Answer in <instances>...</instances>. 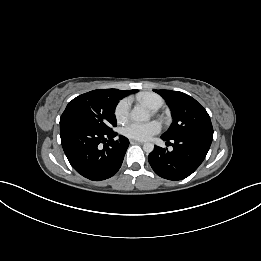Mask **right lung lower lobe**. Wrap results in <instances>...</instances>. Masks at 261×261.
<instances>
[{
    "label": "right lung lower lobe",
    "instance_id": "obj_1",
    "mask_svg": "<svg viewBox=\"0 0 261 261\" xmlns=\"http://www.w3.org/2000/svg\"><path fill=\"white\" fill-rule=\"evenodd\" d=\"M61 144L71 166L93 181L112 177L121 167L129 140L117 133L69 124L60 125ZM106 144L101 146L102 143Z\"/></svg>",
    "mask_w": 261,
    "mask_h": 261
}]
</instances>
